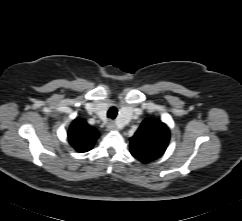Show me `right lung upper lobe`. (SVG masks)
I'll use <instances>...</instances> for the list:
<instances>
[{
	"label": "right lung upper lobe",
	"instance_id": "1",
	"mask_svg": "<svg viewBox=\"0 0 242 221\" xmlns=\"http://www.w3.org/2000/svg\"><path fill=\"white\" fill-rule=\"evenodd\" d=\"M98 137L99 132L82 119H75L68 131L69 143L78 152L89 151Z\"/></svg>",
	"mask_w": 242,
	"mask_h": 221
}]
</instances>
